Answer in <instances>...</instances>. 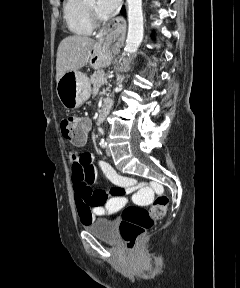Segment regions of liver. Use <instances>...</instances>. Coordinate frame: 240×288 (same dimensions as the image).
Wrapping results in <instances>:
<instances>
[{"label":"liver","mask_w":240,"mask_h":288,"mask_svg":"<svg viewBox=\"0 0 240 288\" xmlns=\"http://www.w3.org/2000/svg\"><path fill=\"white\" fill-rule=\"evenodd\" d=\"M95 40L86 36H68L64 38L57 50L56 81L69 71H78L87 64L88 53Z\"/></svg>","instance_id":"1"}]
</instances>
